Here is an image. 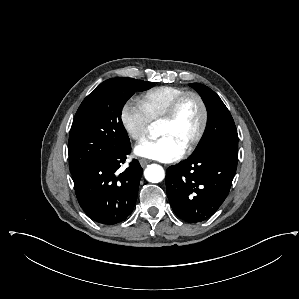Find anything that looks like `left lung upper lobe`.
<instances>
[{"label": "left lung upper lobe", "mask_w": 299, "mask_h": 299, "mask_svg": "<svg viewBox=\"0 0 299 299\" xmlns=\"http://www.w3.org/2000/svg\"><path fill=\"white\" fill-rule=\"evenodd\" d=\"M202 97L208 112L206 132L189 158L219 152L238 157V134L233 118L220 97L209 87L191 83Z\"/></svg>", "instance_id": "1"}]
</instances>
